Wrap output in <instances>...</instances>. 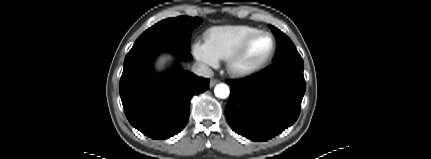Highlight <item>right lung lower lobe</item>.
I'll return each mask as SVG.
<instances>
[{
	"label": "right lung lower lobe",
	"mask_w": 431,
	"mask_h": 159,
	"mask_svg": "<svg viewBox=\"0 0 431 159\" xmlns=\"http://www.w3.org/2000/svg\"><path fill=\"white\" fill-rule=\"evenodd\" d=\"M172 52L189 61V49L153 41L133 46L126 55L120 96L130 124L152 139H167L182 131L189 118L190 101L208 88L209 80L176 66L157 74L153 61L161 52Z\"/></svg>",
	"instance_id": "right-lung-lower-lobe-1"
}]
</instances>
